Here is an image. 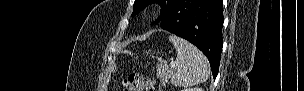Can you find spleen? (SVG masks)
Masks as SVG:
<instances>
[{"label":"spleen","mask_w":304,"mask_h":91,"mask_svg":"<svg viewBox=\"0 0 304 91\" xmlns=\"http://www.w3.org/2000/svg\"><path fill=\"white\" fill-rule=\"evenodd\" d=\"M176 51L177 70L172 83L180 87H190L205 82L210 75V65L204 54L187 40L169 36Z\"/></svg>","instance_id":"3e777b00"}]
</instances>
